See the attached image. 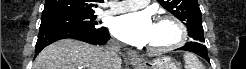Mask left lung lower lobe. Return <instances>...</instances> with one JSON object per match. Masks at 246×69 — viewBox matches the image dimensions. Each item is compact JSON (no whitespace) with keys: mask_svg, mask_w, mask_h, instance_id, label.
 Segmentation results:
<instances>
[{"mask_svg":"<svg viewBox=\"0 0 246 69\" xmlns=\"http://www.w3.org/2000/svg\"><path fill=\"white\" fill-rule=\"evenodd\" d=\"M177 50H185V51L193 52V53L203 57L205 60H207L209 62V58L207 55V48L202 43L194 42V41L188 42L183 47L178 48Z\"/></svg>","mask_w":246,"mask_h":69,"instance_id":"obj_1","label":"left lung lower lobe"}]
</instances>
